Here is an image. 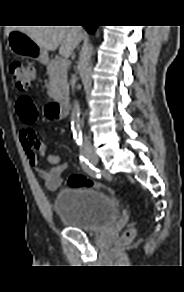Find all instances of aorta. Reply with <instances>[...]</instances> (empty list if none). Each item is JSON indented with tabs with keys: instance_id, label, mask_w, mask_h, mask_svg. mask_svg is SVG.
Wrapping results in <instances>:
<instances>
[{
	"instance_id": "aorta-1",
	"label": "aorta",
	"mask_w": 184,
	"mask_h": 292,
	"mask_svg": "<svg viewBox=\"0 0 184 292\" xmlns=\"http://www.w3.org/2000/svg\"><path fill=\"white\" fill-rule=\"evenodd\" d=\"M93 51V46L91 44L87 45L82 51V70H85L87 63L89 62ZM80 105L79 101H75L72 113H71V122L73 131L75 133L80 132L81 121H80Z\"/></svg>"
}]
</instances>
